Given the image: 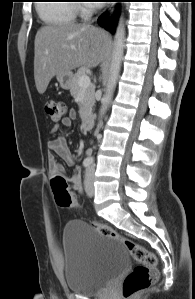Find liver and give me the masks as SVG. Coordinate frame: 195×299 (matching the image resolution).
I'll list each match as a JSON object with an SVG mask.
<instances>
[{"instance_id": "obj_1", "label": "liver", "mask_w": 195, "mask_h": 299, "mask_svg": "<svg viewBox=\"0 0 195 299\" xmlns=\"http://www.w3.org/2000/svg\"><path fill=\"white\" fill-rule=\"evenodd\" d=\"M110 49V38L86 24L64 23L41 27L35 36L34 79L43 94L51 79L81 66L96 67Z\"/></svg>"}]
</instances>
